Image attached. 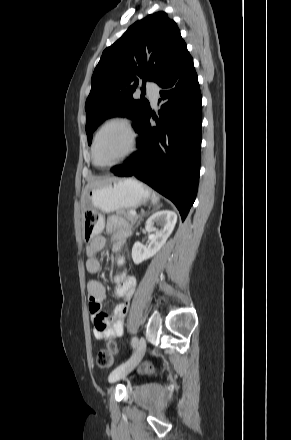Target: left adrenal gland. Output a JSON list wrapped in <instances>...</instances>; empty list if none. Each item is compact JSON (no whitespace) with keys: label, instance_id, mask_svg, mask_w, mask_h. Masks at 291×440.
<instances>
[{"label":"left adrenal gland","instance_id":"a2214340","mask_svg":"<svg viewBox=\"0 0 291 440\" xmlns=\"http://www.w3.org/2000/svg\"><path fill=\"white\" fill-rule=\"evenodd\" d=\"M142 216H143V215H141V216L139 217V220H138V222H137V225H136V226H138V225H139L140 221L142 220Z\"/></svg>","mask_w":291,"mask_h":440}]
</instances>
